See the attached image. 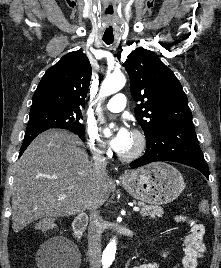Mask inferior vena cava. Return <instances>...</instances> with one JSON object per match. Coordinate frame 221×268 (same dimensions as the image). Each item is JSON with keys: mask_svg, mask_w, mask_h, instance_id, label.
I'll use <instances>...</instances> for the list:
<instances>
[{"mask_svg": "<svg viewBox=\"0 0 221 268\" xmlns=\"http://www.w3.org/2000/svg\"><path fill=\"white\" fill-rule=\"evenodd\" d=\"M94 170L97 174H106L107 161L102 151L93 155ZM98 205L92 206L90 210V223L88 227V254L91 268L101 267V217Z\"/></svg>", "mask_w": 221, "mask_h": 268, "instance_id": "obj_1", "label": "inferior vena cava"}]
</instances>
